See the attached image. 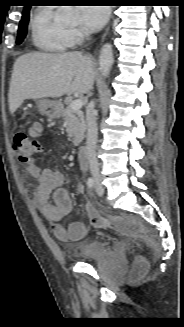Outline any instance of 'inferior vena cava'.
I'll return each mask as SVG.
<instances>
[{
  "label": "inferior vena cava",
  "mask_w": 184,
  "mask_h": 327,
  "mask_svg": "<svg viewBox=\"0 0 184 327\" xmlns=\"http://www.w3.org/2000/svg\"><path fill=\"white\" fill-rule=\"evenodd\" d=\"M95 103L91 101L88 104L86 112L87 121V159L89 162L90 172L95 181L100 180L99 163L96 155L98 128L95 114Z\"/></svg>",
  "instance_id": "602c4592"
}]
</instances>
